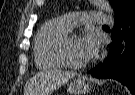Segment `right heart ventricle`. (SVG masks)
I'll list each match as a JSON object with an SVG mask.
<instances>
[{"instance_id": "e07e8e85", "label": "right heart ventricle", "mask_w": 135, "mask_h": 95, "mask_svg": "<svg viewBox=\"0 0 135 95\" xmlns=\"http://www.w3.org/2000/svg\"><path fill=\"white\" fill-rule=\"evenodd\" d=\"M71 29L60 18L45 22L38 30L34 41V57L41 69H58L64 66L59 47Z\"/></svg>"}]
</instances>
